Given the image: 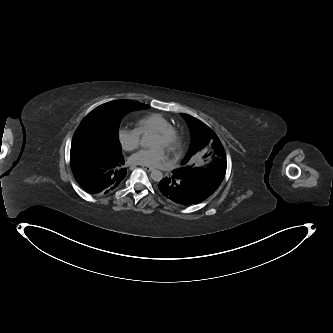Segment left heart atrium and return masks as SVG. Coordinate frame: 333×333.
Wrapping results in <instances>:
<instances>
[{
  "mask_svg": "<svg viewBox=\"0 0 333 333\" xmlns=\"http://www.w3.org/2000/svg\"><path fill=\"white\" fill-rule=\"evenodd\" d=\"M165 156V150L161 148H143L133 154L129 161L139 165H157Z\"/></svg>",
  "mask_w": 333,
  "mask_h": 333,
  "instance_id": "left-heart-atrium-1",
  "label": "left heart atrium"
}]
</instances>
